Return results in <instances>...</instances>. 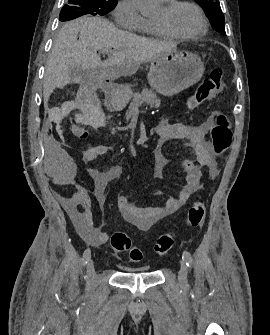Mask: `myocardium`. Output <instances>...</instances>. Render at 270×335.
Segmentation results:
<instances>
[{"instance_id": "myocardium-1", "label": "myocardium", "mask_w": 270, "mask_h": 335, "mask_svg": "<svg viewBox=\"0 0 270 335\" xmlns=\"http://www.w3.org/2000/svg\"><path fill=\"white\" fill-rule=\"evenodd\" d=\"M182 4L191 6L197 12V14L199 15L200 20H201V29H200V31H198L196 33H192V34H181V33L173 31L168 26H166L164 24H161L160 22H157V21L153 20V23L155 24V26L165 36L171 37V38H175V39H180V40H194V39H197V38L205 35V33L208 30V23H207V20H206V18L204 16L202 10L194 2L189 1V0L171 2V3H168L165 6V10H166L167 13H172L178 6H180ZM192 78H199V77H192Z\"/></svg>"}]
</instances>
